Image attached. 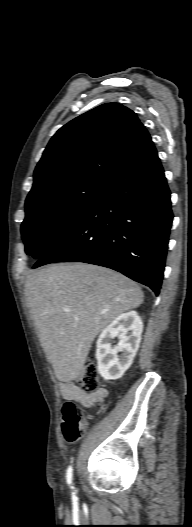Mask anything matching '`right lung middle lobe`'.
I'll return each mask as SVG.
<instances>
[{
    "label": "right lung middle lobe",
    "instance_id": "right-lung-middle-lobe-1",
    "mask_svg": "<svg viewBox=\"0 0 192 527\" xmlns=\"http://www.w3.org/2000/svg\"><path fill=\"white\" fill-rule=\"evenodd\" d=\"M105 184L85 179L27 199L21 226L25 252L35 259L43 257L84 214Z\"/></svg>",
    "mask_w": 192,
    "mask_h": 527
}]
</instances>
